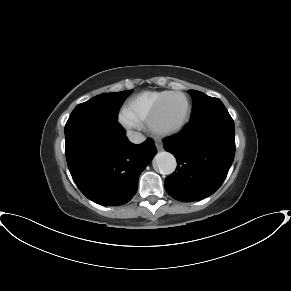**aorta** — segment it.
Here are the masks:
<instances>
[{
	"instance_id": "aorta-1",
	"label": "aorta",
	"mask_w": 291,
	"mask_h": 291,
	"mask_svg": "<svg viewBox=\"0 0 291 291\" xmlns=\"http://www.w3.org/2000/svg\"><path fill=\"white\" fill-rule=\"evenodd\" d=\"M154 159L161 174L170 175L175 171L177 162L173 154L166 151L159 152Z\"/></svg>"
}]
</instances>
